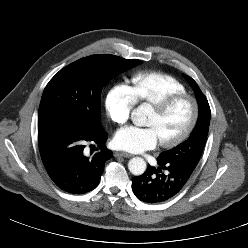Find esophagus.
Segmentation results:
<instances>
[{"instance_id":"34e87169","label":"esophagus","mask_w":248,"mask_h":248,"mask_svg":"<svg viewBox=\"0 0 248 248\" xmlns=\"http://www.w3.org/2000/svg\"><path fill=\"white\" fill-rule=\"evenodd\" d=\"M115 157H125V158H130L132 155L127 152H115L114 153Z\"/></svg>"}]
</instances>
